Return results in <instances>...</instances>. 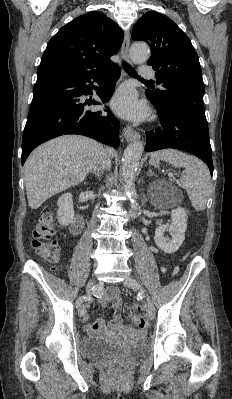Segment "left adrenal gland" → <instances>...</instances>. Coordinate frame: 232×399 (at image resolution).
Wrapping results in <instances>:
<instances>
[{
  "label": "left adrenal gland",
  "instance_id": "obj_1",
  "mask_svg": "<svg viewBox=\"0 0 232 399\" xmlns=\"http://www.w3.org/2000/svg\"><path fill=\"white\" fill-rule=\"evenodd\" d=\"M147 176H155V174H153V172H152V170H150V168H149V172H148Z\"/></svg>",
  "mask_w": 232,
  "mask_h": 399
}]
</instances>
